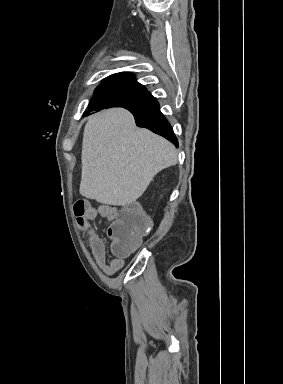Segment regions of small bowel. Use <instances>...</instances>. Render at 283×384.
Instances as JSON below:
<instances>
[{"label":"small bowel","mask_w":283,"mask_h":384,"mask_svg":"<svg viewBox=\"0 0 283 384\" xmlns=\"http://www.w3.org/2000/svg\"><path fill=\"white\" fill-rule=\"evenodd\" d=\"M119 214L118 209L109 204H101L98 207H89L82 218L78 220L81 230L88 232L91 254L96 264L106 273L113 274L123 268V257L108 251L104 239L94 229L92 223L97 217H103L113 221Z\"/></svg>","instance_id":"c3829d8e"}]
</instances>
